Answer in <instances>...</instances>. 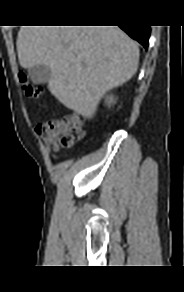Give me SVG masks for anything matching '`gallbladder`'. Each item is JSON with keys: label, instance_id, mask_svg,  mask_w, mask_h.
Returning a JSON list of instances; mask_svg holds the SVG:
<instances>
[{"label": "gallbladder", "instance_id": "gallbladder-1", "mask_svg": "<svg viewBox=\"0 0 184 292\" xmlns=\"http://www.w3.org/2000/svg\"><path fill=\"white\" fill-rule=\"evenodd\" d=\"M28 74L34 84H45L51 77L50 68L44 65H36L30 68Z\"/></svg>", "mask_w": 184, "mask_h": 292}]
</instances>
